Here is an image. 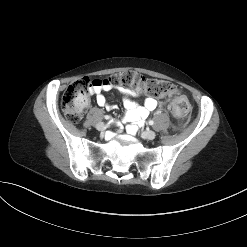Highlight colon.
<instances>
[{
	"mask_svg": "<svg viewBox=\"0 0 247 247\" xmlns=\"http://www.w3.org/2000/svg\"><path fill=\"white\" fill-rule=\"evenodd\" d=\"M97 83H104L115 87H141L146 93L161 97L178 93L177 87L167 81L145 78L134 71H125L113 74L104 80L79 79L70 84L62 98V110L71 122H78L88 106V93ZM170 107L176 118L181 122L188 113V101L184 96L170 99Z\"/></svg>",
	"mask_w": 247,
	"mask_h": 247,
	"instance_id": "5ec220e1",
	"label": "colon"
}]
</instances>
